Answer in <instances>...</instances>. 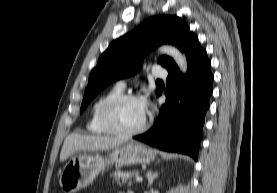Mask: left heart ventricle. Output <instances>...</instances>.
<instances>
[{
    "label": "left heart ventricle",
    "mask_w": 277,
    "mask_h": 193,
    "mask_svg": "<svg viewBox=\"0 0 277 193\" xmlns=\"http://www.w3.org/2000/svg\"><path fill=\"white\" fill-rule=\"evenodd\" d=\"M146 117L140 100H128L119 104L114 110V121L121 130H132L139 127Z\"/></svg>",
    "instance_id": "left-heart-ventricle-1"
}]
</instances>
